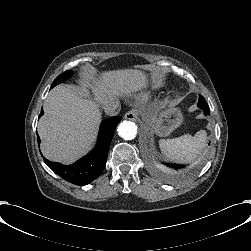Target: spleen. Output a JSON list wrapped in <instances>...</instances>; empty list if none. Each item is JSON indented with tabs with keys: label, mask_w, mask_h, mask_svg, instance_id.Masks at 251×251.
Instances as JSON below:
<instances>
[{
	"label": "spleen",
	"mask_w": 251,
	"mask_h": 251,
	"mask_svg": "<svg viewBox=\"0 0 251 251\" xmlns=\"http://www.w3.org/2000/svg\"><path fill=\"white\" fill-rule=\"evenodd\" d=\"M199 130L193 137L182 136L172 140H159V149L163 156L170 161L190 163L198 158L208 142V133L204 129Z\"/></svg>",
	"instance_id": "spleen-1"
}]
</instances>
